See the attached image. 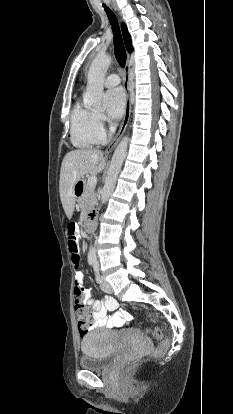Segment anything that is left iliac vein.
Segmentation results:
<instances>
[{
	"label": "left iliac vein",
	"mask_w": 233,
	"mask_h": 414,
	"mask_svg": "<svg viewBox=\"0 0 233 414\" xmlns=\"http://www.w3.org/2000/svg\"><path fill=\"white\" fill-rule=\"evenodd\" d=\"M101 289L106 293H112V287L111 285L103 278V281L101 283Z\"/></svg>",
	"instance_id": "obj_1"
}]
</instances>
